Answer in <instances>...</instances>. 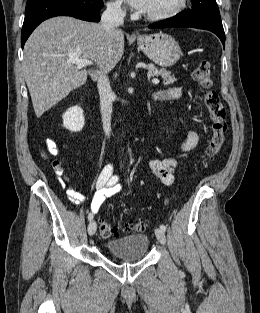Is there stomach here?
Here are the masks:
<instances>
[{
    "instance_id": "obj_1",
    "label": "stomach",
    "mask_w": 260,
    "mask_h": 313,
    "mask_svg": "<svg viewBox=\"0 0 260 313\" xmlns=\"http://www.w3.org/2000/svg\"><path fill=\"white\" fill-rule=\"evenodd\" d=\"M137 42L145 55L161 67L174 65L182 54L177 41L166 33L144 35Z\"/></svg>"
}]
</instances>
